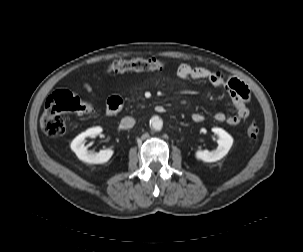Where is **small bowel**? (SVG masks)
Returning a JSON list of instances; mask_svg holds the SVG:
<instances>
[{"label":"small bowel","instance_id":"c3829d8e","mask_svg":"<svg viewBox=\"0 0 303 252\" xmlns=\"http://www.w3.org/2000/svg\"><path fill=\"white\" fill-rule=\"evenodd\" d=\"M177 75L185 80H207L213 87L223 88L228 92L234 103L236 114L227 115L222 111H218L213 116V119L216 122H226L230 125L235 126L248 116L249 111L246 103L249 101L251 94L249 89L239 81L231 80L229 82H226L224 77L217 72H213L207 68L193 66L190 64L179 65L177 68ZM82 85L89 93L92 94V96L95 97V90L90 84L83 82ZM192 120L194 122L200 123L205 120V116L202 113L195 112L192 114Z\"/></svg>","mask_w":303,"mask_h":252}]
</instances>
